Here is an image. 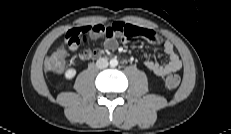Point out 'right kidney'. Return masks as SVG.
<instances>
[{
  "label": "right kidney",
  "instance_id": "right-kidney-1",
  "mask_svg": "<svg viewBox=\"0 0 231 134\" xmlns=\"http://www.w3.org/2000/svg\"><path fill=\"white\" fill-rule=\"evenodd\" d=\"M76 74V70L75 69H68L66 72H65V77L67 79H72Z\"/></svg>",
  "mask_w": 231,
  "mask_h": 134
}]
</instances>
